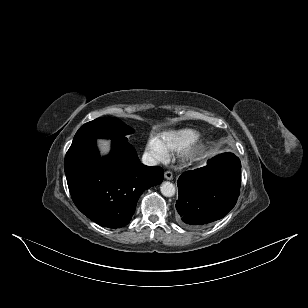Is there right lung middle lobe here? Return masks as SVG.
I'll return each mask as SVG.
<instances>
[{"instance_id":"obj_1","label":"right lung middle lobe","mask_w":308,"mask_h":308,"mask_svg":"<svg viewBox=\"0 0 308 308\" xmlns=\"http://www.w3.org/2000/svg\"><path fill=\"white\" fill-rule=\"evenodd\" d=\"M132 133L134 130L119 119L97 118L80 127L72 144L97 138H109L113 142H127L126 135Z\"/></svg>"}]
</instances>
